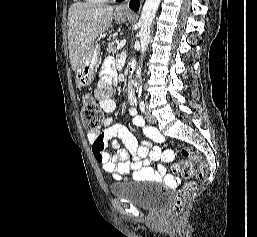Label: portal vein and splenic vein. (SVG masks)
<instances>
[{"instance_id": "obj_1", "label": "portal vein and splenic vein", "mask_w": 257, "mask_h": 237, "mask_svg": "<svg viewBox=\"0 0 257 237\" xmlns=\"http://www.w3.org/2000/svg\"><path fill=\"white\" fill-rule=\"evenodd\" d=\"M125 44H126V40L121 41V42L117 45V50H120Z\"/></svg>"}]
</instances>
